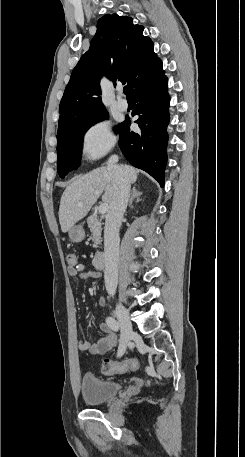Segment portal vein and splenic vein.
<instances>
[{
	"instance_id": "18ae733b",
	"label": "portal vein and splenic vein",
	"mask_w": 245,
	"mask_h": 457,
	"mask_svg": "<svg viewBox=\"0 0 245 457\" xmlns=\"http://www.w3.org/2000/svg\"><path fill=\"white\" fill-rule=\"evenodd\" d=\"M80 204H81V202H80ZM108 208H109L108 202H102V204H100L98 210H99L100 214H105V212H107Z\"/></svg>"
}]
</instances>
